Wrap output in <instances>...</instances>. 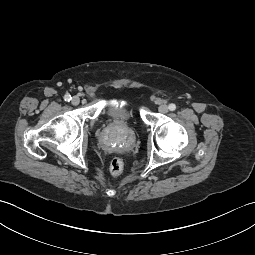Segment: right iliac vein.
Here are the masks:
<instances>
[{
  "instance_id": "63e3f726",
  "label": "right iliac vein",
  "mask_w": 255,
  "mask_h": 255,
  "mask_svg": "<svg viewBox=\"0 0 255 255\" xmlns=\"http://www.w3.org/2000/svg\"><path fill=\"white\" fill-rule=\"evenodd\" d=\"M71 102L73 105H78L80 103V98L78 96H74Z\"/></svg>"
}]
</instances>
